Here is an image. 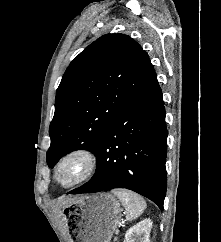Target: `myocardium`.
<instances>
[{"instance_id": "myocardium-1", "label": "myocardium", "mask_w": 221, "mask_h": 242, "mask_svg": "<svg viewBox=\"0 0 221 242\" xmlns=\"http://www.w3.org/2000/svg\"><path fill=\"white\" fill-rule=\"evenodd\" d=\"M70 162H74L78 166L75 177L67 183L60 179L63 168ZM97 169L96 155L88 148H74L64 153L55 163L53 168V182L61 189L72 188L89 178H91Z\"/></svg>"}]
</instances>
